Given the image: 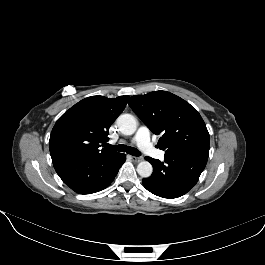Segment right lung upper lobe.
I'll return each mask as SVG.
<instances>
[{
  "label": "right lung upper lobe",
  "instance_id": "1",
  "mask_svg": "<svg viewBox=\"0 0 265 265\" xmlns=\"http://www.w3.org/2000/svg\"><path fill=\"white\" fill-rule=\"evenodd\" d=\"M128 98L91 96L67 110L57 120L50 135L53 164L116 153L99 147L108 140V130L124 110Z\"/></svg>",
  "mask_w": 265,
  "mask_h": 265
}]
</instances>
